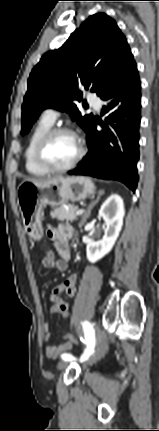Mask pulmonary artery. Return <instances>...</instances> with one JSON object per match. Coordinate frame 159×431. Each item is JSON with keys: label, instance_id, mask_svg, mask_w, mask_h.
Here are the masks:
<instances>
[{"label": "pulmonary artery", "instance_id": "1", "mask_svg": "<svg viewBox=\"0 0 159 431\" xmlns=\"http://www.w3.org/2000/svg\"><path fill=\"white\" fill-rule=\"evenodd\" d=\"M87 100L96 110L101 108V101L94 94H88ZM58 116L59 113L54 109H47L43 113V117L52 123L56 121Z\"/></svg>", "mask_w": 159, "mask_h": 431}]
</instances>
